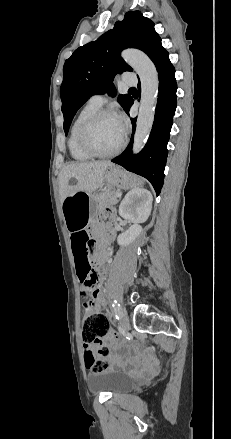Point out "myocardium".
Here are the masks:
<instances>
[{
	"label": "myocardium",
	"instance_id": "myocardium-1",
	"mask_svg": "<svg viewBox=\"0 0 231 439\" xmlns=\"http://www.w3.org/2000/svg\"><path fill=\"white\" fill-rule=\"evenodd\" d=\"M115 117L114 113L108 109H98L92 113L81 125L78 132V142L80 147L91 157L95 158H111L119 154L126 145V135L124 134L120 144L109 152H100L91 144L89 134L94 124L102 117Z\"/></svg>",
	"mask_w": 231,
	"mask_h": 439
}]
</instances>
